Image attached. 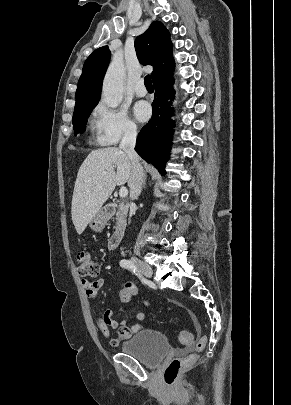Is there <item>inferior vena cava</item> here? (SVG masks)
<instances>
[{"instance_id": "602c4592", "label": "inferior vena cava", "mask_w": 291, "mask_h": 405, "mask_svg": "<svg viewBox=\"0 0 291 405\" xmlns=\"http://www.w3.org/2000/svg\"><path fill=\"white\" fill-rule=\"evenodd\" d=\"M136 137V128H128L125 131L122 141L119 145L120 149L128 155L131 163V174L128 181V186L130 188V198L132 200H135L139 197L142 184L144 182L143 168L139 162V156L134 149L136 144Z\"/></svg>"}]
</instances>
